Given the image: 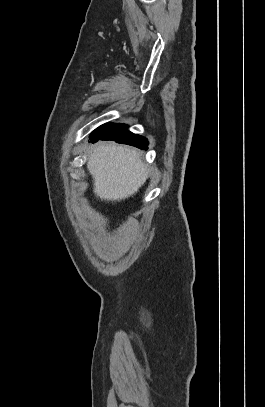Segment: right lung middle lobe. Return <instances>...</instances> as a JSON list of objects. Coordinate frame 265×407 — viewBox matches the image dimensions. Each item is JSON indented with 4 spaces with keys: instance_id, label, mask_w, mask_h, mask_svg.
Masks as SVG:
<instances>
[{
    "instance_id": "obj_1",
    "label": "right lung middle lobe",
    "mask_w": 265,
    "mask_h": 407,
    "mask_svg": "<svg viewBox=\"0 0 265 407\" xmlns=\"http://www.w3.org/2000/svg\"><path fill=\"white\" fill-rule=\"evenodd\" d=\"M115 125H117V124H104V125L98 127L96 130H94V132L92 133L91 136L104 133V132L110 130L111 128H113Z\"/></svg>"
}]
</instances>
